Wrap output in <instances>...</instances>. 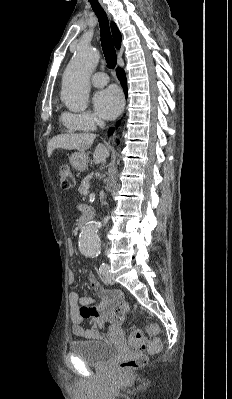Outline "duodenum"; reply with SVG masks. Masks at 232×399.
Instances as JSON below:
<instances>
[{
    "instance_id": "obj_1",
    "label": "duodenum",
    "mask_w": 232,
    "mask_h": 399,
    "mask_svg": "<svg viewBox=\"0 0 232 399\" xmlns=\"http://www.w3.org/2000/svg\"><path fill=\"white\" fill-rule=\"evenodd\" d=\"M86 222H87V218L84 216V217H82L81 219H80V226L82 227V226H84L85 224H86Z\"/></svg>"
}]
</instances>
